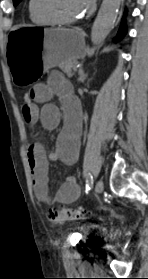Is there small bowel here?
Listing matches in <instances>:
<instances>
[{
  "mask_svg": "<svg viewBox=\"0 0 148 279\" xmlns=\"http://www.w3.org/2000/svg\"><path fill=\"white\" fill-rule=\"evenodd\" d=\"M33 99L29 105H22L25 121L31 125L40 123L47 130L56 129L64 118V126L57 140L56 148L49 155L44 147L35 143L27 151L28 164L32 175L35 195L41 201H50L48 196V161H60L73 165L79 155L80 135L82 129V110L73 96L70 83L59 72L53 73L47 83H39L32 88ZM53 96L60 100V108L49 101ZM38 105H42L39 107ZM81 190L74 176L66 178L58 188L54 201L61 204L75 202Z\"/></svg>",
  "mask_w": 148,
  "mask_h": 279,
  "instance_id": "c3829d8e",
  "label": "small bowel"
}]
</instances>
